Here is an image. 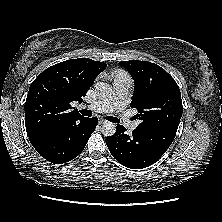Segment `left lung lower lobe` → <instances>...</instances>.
I'll return each instance as SVG.
<instances>
[{"label":"left lung lower lobe","mask_w":222,"mask_h":222,"mask_svg":"<svg viewBox=\"0 0 222 222\" xmlns=\"http://www.w3.org/2000/svg\"><path fill=\"white\" fill-rule=\"evenodd\" d=\"M176 132L163 128H136L132 135L122 125L105 141L112 156L132 169L148 167L159 160L175 138Z\"/></svg>","instance_id":"0a47b994"}]
</instances>
